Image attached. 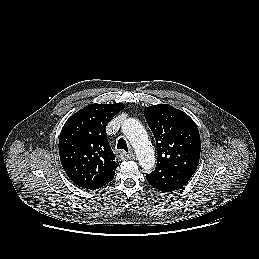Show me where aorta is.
I'll use <instances>...</instances> for the list:
<instances>
[{
    "label": "aorta",
    "mask_w": 259,
    "mask_h": 259,
    "mask_svg": "<svg viewBox=\"0 0 259 259\" xmlns=\"http://www.w3.org/2000/svg\"><path fill=\"white\" fill-rule=\"evenodd\" d=\"M122 132L136 151L139 165L146 171L155 166L154 150L144 126L135 118L125 119Z\"/></svg>",
    "instance_id": "1"
}]
</instances>
